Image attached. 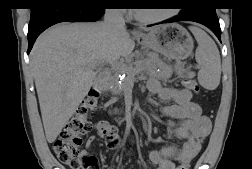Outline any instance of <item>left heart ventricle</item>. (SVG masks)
I'll return each mask as SVG.
<instances>
[{"instance_id": "1", "label": "left heart ventricle", "mask_w": 252, "mask_h": 169, "mask_svg": "<svg viewBox=\"0 0 252 169\" xmlns=\"http://www.w3.org/2000/svg\"><path fill=\"white\" fill-rule=\"evenodd\" d=\"M159 12H162V11H158L156 9H139V10H137V13L142 16H154V15L158 14Z\"/></svg>"}]
</instances>
